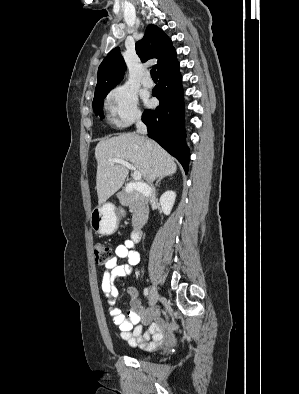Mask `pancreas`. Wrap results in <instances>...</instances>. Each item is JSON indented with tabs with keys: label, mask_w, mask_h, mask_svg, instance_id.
<instances>
[{
	"label": "pancreas",
	"mask_w": 299,
	"mask_h": 394,
	"mask_svg": "<svg viewBox=\"0 0 299 394\" xmlns=\"http://www.w3.org/2000/svg\"><path fill=\"white\" fill-rule=\"evenodd\" d=\"M122 197V204L129 206L130 210L133 213L132 217V224L134 227L137 226V220L144 216L147 213V209L145 207L144 202L142 201L139 193L134 192L130 195H121Z\"/></svg>",
	"instance_id": "obj_1"
}]
</instances>
